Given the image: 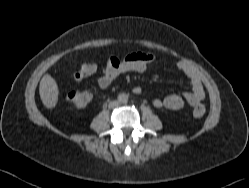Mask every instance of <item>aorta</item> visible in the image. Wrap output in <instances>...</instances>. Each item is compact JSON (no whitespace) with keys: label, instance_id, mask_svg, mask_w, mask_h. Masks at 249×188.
Segmentation results:
<instances>
[{"label":"aorta","instance_id":"aorta-1","mask_svg":"<svg viewBox=\"0 0 249 188\" xmlns=\"http://www.w3.org/2000/svg\"><path fill=\"white\" fill-rule=\"evenodd\" d=\"M118 102L119 103H127L128 102V94H126V93L118 94Z\"/></svg>","mask_w":249,"mask_h":188}]
</instances>
